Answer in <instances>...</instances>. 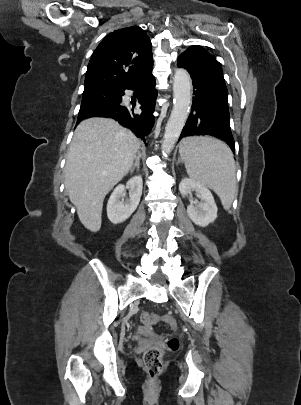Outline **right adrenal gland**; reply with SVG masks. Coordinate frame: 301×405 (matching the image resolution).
I'll list each match as a JSON object with an SVG mask.
<instances>
[{"label": "right adrenal gland", "instance_id": "1", "mask_svg": "<svg viewBox=\"0 0 301 405\" xmlns=\"http://www.w3.org/2000/svg\"><path fill=\"white\" fill-rule=\"evenodd\" d=\"M140 158H141V154L138 153V156L135 158V162H134V164H133V166H132V168H131V170H130L131 173L134 172L135 168H136L137 170H139V167H140Z\"/></svg>", "mask_w": 301, "mask_h": 405}]
</instances>
